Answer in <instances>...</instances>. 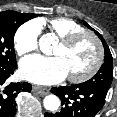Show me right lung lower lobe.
I'll list each match as a JSON object with an SVG mask.
<instances>
[{"mask_svg": "<svg viewBox=\"0 0 117 117\" xmlns=\"http://www.w3.org/2000/svg\"><path fill=\"white\" fill-rule=\"evenodd\" d=\"M17 63L12 66L0 68V117H14L16 114L15 98L20 91H31V84L10 83L6 84V80L14 73Z\"/></svg>", "mask_w": 117, "mask_h": 117, "instance_id": "right-lung-lower-lobe-1", "label": "right lung lower lobe"}]
</instances>
